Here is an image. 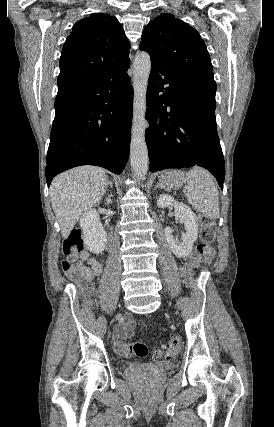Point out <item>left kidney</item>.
Listing matches in <instances>:
<instances>
[{"label":"left kidney","instance_id":"obj_1","mask_svg":"<svg viewBox=\"0 0 274 427\" xmlns=\"http://www.w3.org/2000/svg\"><path fill=\"white\" fill-rule=\"evenodd\" d=\"M158 208H170L174 206L175 215L185 225V233H182V241L176 239L172 233L171 227H165L164 235L166 241L176 257H186L192 251L193 243L198 237L197 215L181 202H175L174 198L161 194L157 200Z\"/></svg>","mask_w":274,"mask_h":427}]
</instances>
